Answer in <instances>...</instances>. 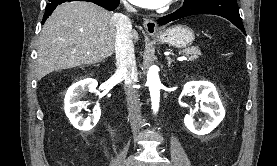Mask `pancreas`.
Wrapping results in <instances>:
<instances>
[{
  "instance_id": "1",
  "label": "pancreas",
  "mask_w": 277,
  "mask_h": 166,
  "mask_svg": "<svg viewBox=\"0 0 277 166\" xmlns=\"http://www.w3.org/2000/svg\"><path fill=\"white\" fill-rule=\"evenodd\" d=\"M182 53H184L186 55H190L191 60L197 59L201 55V52L198 49V47L187 48V49L183 50Z\"/></svg>"
}]
</instances>
